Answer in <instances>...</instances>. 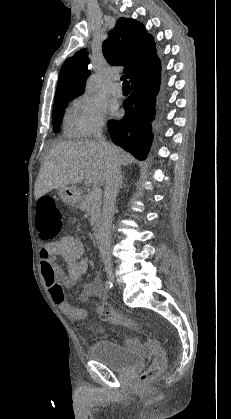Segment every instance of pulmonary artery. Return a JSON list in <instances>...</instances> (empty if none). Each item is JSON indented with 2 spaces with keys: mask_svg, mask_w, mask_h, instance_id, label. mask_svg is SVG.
Instances as JSON below:
<instances>
[{
  "mask_svg": "<svg viewBox=\"0 0 231 419\" xmlns=\"http://www.w3.org/2000/svg\"><path fill=\"white\" fill-rule=\"evenodd\" d=\"M110 92L115 97H120L123 94L122 87L118 82H114L110 87Z\"/></svg>",
  "mask_w": 231,
  "mask_h": 419,
  "instance_id": "e3ab8cb5",
  "label": "pulmonary artery"
}]
</instances>
